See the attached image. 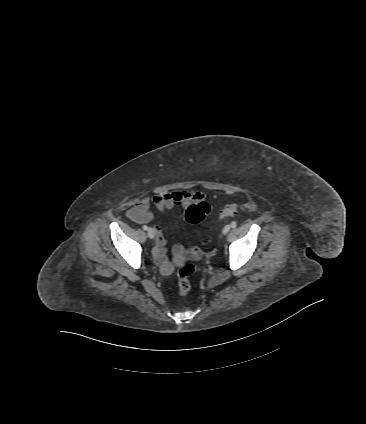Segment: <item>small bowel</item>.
<instances>
[{"label": "small bowel", "mask_w": 366, "mask_h": 424, "mask_svg": "<svg viewBox=\"0 0 366 424\" xmlns=\"http://www.w3.org/2000/svg\"><path fill=\"white\" fill-rule=\"evenodd\" d=\"M204 197L205 194L202 191L194 190L161 192L154 195L152 198L144 196L128 210L127 217L140 224L149 223L153 219V213L149 209L151 202L159 211H163L165 209H172L176 206L188 208L192 204L201 202ZM155 232L156 248L154 249V256L162 270L168 273L171 269V265L166 259L167 240L159 226H155ZM174 252L181 254L183 252V247L179 244L176 245L174 247Z\"/></svg>", "instance_id": "c3829d8e"}]
</instances>
